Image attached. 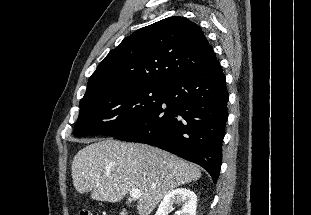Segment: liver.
<instances>
[{
	"label": "liver",
	"instance_id": "1",
	"mask_svg": "<svg viewBox=\"0 0 311 215\" xmlns=\"http://www.w3.org/2000/svg\"><path fill=\"white\" fill-rule=\"evenodd\" d=\"M75 189L91 199L119 202L138 189L139 215H149L168 192L201 176L197 166L144 144L99 140L79 150L72 162ZM99 176V177H98Z\"/></svg>",
	"mask_w": 311,
	"mask_h": 215
}]
</instances>
